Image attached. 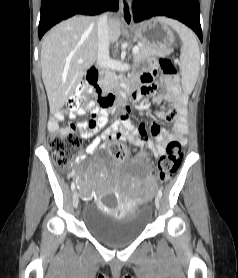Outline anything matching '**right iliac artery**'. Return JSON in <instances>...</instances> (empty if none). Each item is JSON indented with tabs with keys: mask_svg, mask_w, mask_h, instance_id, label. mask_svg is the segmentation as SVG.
<instances>
[{
	"mask_svg": "<svg viewBox=\"0 0 238 278\" xmlns=\"http://www.w3.org/2000/svg\"><path fill=\"white\" fill-rule=\"evenodd\" d=\"M71 189H72V191L75 190V183L74 182L71 183Z\"/></svg>",
	"mask_w": 238,
	"mask_h": 278,
	"instance_id": "obj_1",
	"label": "right iliac artery"
}]
</instances>
